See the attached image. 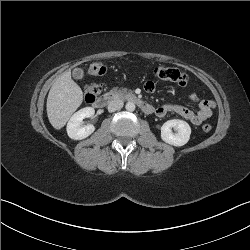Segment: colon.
<instances>
[{
  "mask_svg": "<svg viewBox=\"0 0 250 250\" xmlns=\"http://www.w3.org/2000/svg\"><path fill=\"white\" fill-rule=\"evenodd\" d=\"M106 67L102 62H94L89 65L87 73L90 76H100L105 73ZM155 75L162 81H168L176 83L180 86H186L188 84V76L176 68H169L165 66H159L155 69ZM101 92L100 86L97 84H89L85 87L84 95L85 100L88 103H92L96 100ZM204 132H209L212 129L210 124H204L202 126Z\"/></svg>",
  "mask_w": 250,
  "mask_h": 250,
  "instance_id": "obj_1",
  "label": "colon"
}]
</instances>
